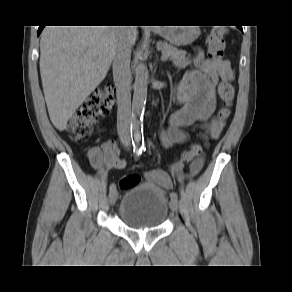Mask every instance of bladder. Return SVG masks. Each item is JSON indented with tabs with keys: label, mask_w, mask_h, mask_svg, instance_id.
<instances>
[{
	"label": "bladder",
	"mask_w": 292,
	"mask_h": 292,
	"mask_svg": "<svg viewBox=\"0 0 292 292\" xmlns=\"http://www.w3.org/2000/svg\"><path fill=\"white\" fill-rule=\"evenodd\" d=\"M165 192L152 183L125 190L119 205V218L129 228L148 230L160 227L168 215Z\"/></svg>",
	"instance_id": "obj_1"
}]
</instances>
